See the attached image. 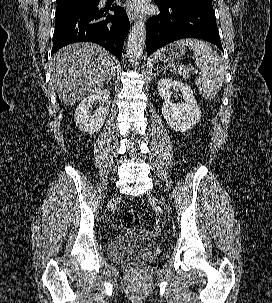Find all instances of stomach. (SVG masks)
Returning <instances> with one entry per match:
<instances>
[{"label":"stomach","instance_id":"0dacf381","mask_svg":"<svg viewBox=\"0 0 272 303\" xmlns=\"http://www.w3.org/2000/svg\"><path fill=\"white\" fill-rule=\"evenodd\" d=\"M186 49L185 46H179L176 43L167 46L159 51V59L163 62L173 61L184 55Z\"/></svg>","mask_w":272,"mask_h":303}]
</instances>
